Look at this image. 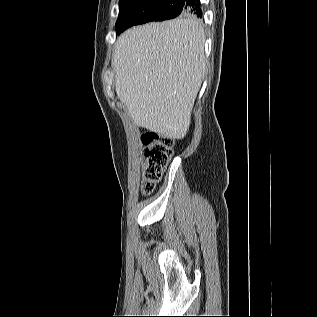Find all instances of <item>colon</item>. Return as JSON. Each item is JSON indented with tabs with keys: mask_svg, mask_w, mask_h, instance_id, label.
Here are the masks:
<instances>
[{
	"mask_svg": "<svg viewBox=\"0 0 317 317\" xmlns=\"http://www.w3.org/2000/svg\"><path fill=\"white\" fill-rule=\"evenodd\" d=\"M145 146L143 162V182L141 191L144 195L153 192L173 155V140L157 132H147L142 136Z\"/></svg>",
	"mask_w": 317,
	"mask_h": 317,
	"instance_id": "5ec220e1",
	"label": "colon"
}]
</instances>
